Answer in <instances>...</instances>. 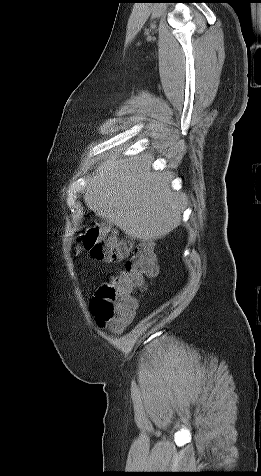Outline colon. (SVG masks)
<instances>
[{
  "instance_id": "5ec220e1",
  "label": "colon",
  "mask_w": 261,
  "mask_h": 476,
  "mask_svg": "<svg viewBox=\"0 0 261 476\" xmlns=\"http://www.w3.org/2000/svg\"><path fill=\"white\" fill-rule=\"evenodd\" d=\"M81 240L95 259L107 262L125 261L123 269L101 286L91 302L97 323L119 332L135 316V293L145 289L148 279L158 273L154 245L151 241H143L133 247L129 242L120 239L104 222L89 226L83 232Z\"/></svg>"
}]
</instances>
